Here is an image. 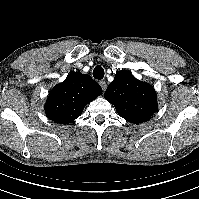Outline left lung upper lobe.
<instances>
[{"instance_id": "left-lung-upper-lobe-1", "label": "left lung upper lobe", "mask_w": 199, "mask_h": 199, "mask_svg": "<svg viewBox=\"0 0 199 199\" xmlns=\"http://www.w3.org/2000/svg\"><path fill=\"white\" fill-rule=\"evenodd\" d=\"M104 98L115 106L121 117L136 124L148 121L158 109L153 87L125 70L116 73Z\"/></svg>"}]
</instances>
